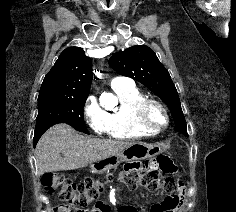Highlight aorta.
<instances>
[{
	"label": "aorta",
	"mask_w": 236,
	"mask_h": 212,
	"mask_svg": "<svg viewBox=\"0 0 236 212\" xmlns=\"http://www.w3.org/2000/svg\"><path fill=\"white\" fill-rule=\"evenodd\" d=\"M104 97L107 98V100L111 103V106H115L117 104L116 97H114L110 94H104Z\"/></svg>",
	"instance_id": "1"
}]
</instances>
